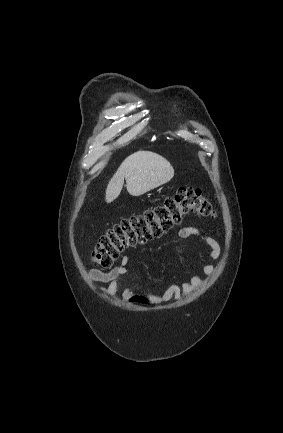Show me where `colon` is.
<instances>
[{
	"instance_id": "obj_1",
	"label": "colon",
	"mask_w": 283,
	"mask_h": 433,
	"mask_svg": "<svg viewBox=\"0 0 283 433\" xmlns=\"http://www.w3.org/2000/svg\"><path fill=\"white\" fill-rule=\"evenodd\" d=\"M187 214L203 219L217 217L214 207L201 190L181 187L162 204L122 218L109 228L95 245L91 260L104 269L110 268L126 249L161 237L180 224ZM135 299L147 302L143 297Z\"/></svg>"
}]
</instances>
